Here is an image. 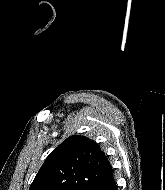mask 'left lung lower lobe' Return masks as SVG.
Returning <instances> with one entry per match:
<instances>
[{
	"instance_id": "obj_1",
	"label": "left lung lower lobe",
	"mask_w": 165,
	"mask_h": 190,
	"mask_svg": "<svg viewBox=\"0 0 165 190\" xmlns=\"http://www.w3.org/2000/svg\"><path fill=\"white\" fill-rule=\"evenodd\" d=\"M98 190H117L113 171L110 174V176L103 182V184L100 186Z\"/></svg>"
}]
</instances>
